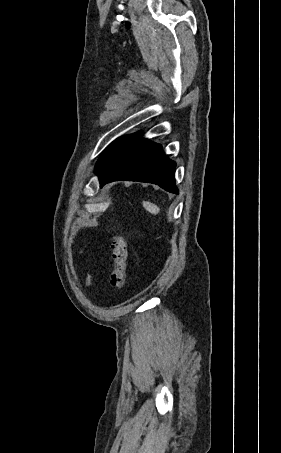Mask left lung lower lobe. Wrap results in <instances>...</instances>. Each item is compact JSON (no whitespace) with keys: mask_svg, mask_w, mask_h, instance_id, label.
I'll use <instances>...</instances> for the list:
<instances>
[{"mask_svg":"<svg viewBox=\"0 0 281 453\" xmlns=\"http://www.w3.org/2000/svg\"><path fill=\"white\" fill-rule=\"evenodd\" d=\"M175 167L160 144L141 139V132H137L112 142L97 161L95 173L101 186L117 180L141 181L178 193Z\"/></svg>","mask_w":281,"mask_h":453,"instance_id":"obj_1","label":"left lung lower lobe"}]
</instances>
